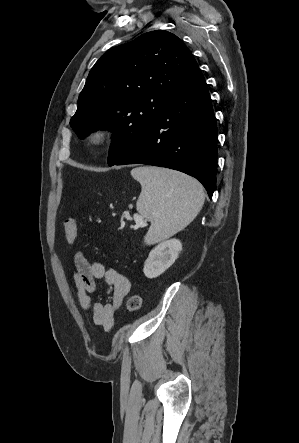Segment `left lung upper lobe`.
<instances>
[{
	"label": "left lung upper lobe",
	"instance_id": "left-lung-upper-lobe-1",
	"mask_svg": "<svg viewBox=\"0 0 299 443\" xmlns=\"http://www.w3.org/2000/svg\"><path fill=\"white\" fill-rule=\"evenodd\" d=\"M198 68L181 39L165 30L111 48L92 67L70 125L80 139L98 129L113 132L108 156L113 165Z\"/></svg>",
	"mask_w": 299,
	"mask_h": 443
}]
</instances>
